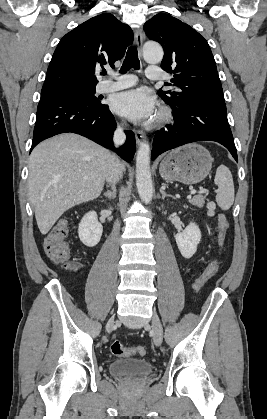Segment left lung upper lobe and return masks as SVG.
Here are the masks:
<instances>
[{
    "mask_svg": "<svg viewBox=\"0 0 267 419\" xmlns=\"http://www.w3.org/2000/svg\"><path fill=\"white\" fill-rule=\"evenodd\" d=\"M144 30L151 40L163 46L161 68L174 74L171 82L178 90L158 91L173 112L195 103L224 102L214 57L207 41L196 30L163 13L148 20Z\"/></svg>",
    "mask_w": 267,
    "mask_h": 419,
    "instance_id": "obj_1",
    "label": "left lung upper lobe"
}]
</instances>
